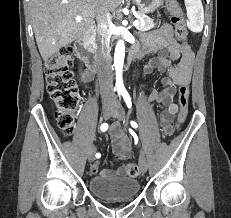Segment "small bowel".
<instances>
[{
	"mask_svg": "<svg viewBox=\"0 0 231 218\" xmlns=\"http://www.w3.org/2000/svg\"><path fill=\"white\" fill-rule=\"evenodd\" d=\"M139 58L147 55H155L145 66L144 73L151 74L155 69L159 72H167L162 78L164 88L152 89L146 102H158L166 107L159 116L161 132L169 136L173 131V117L178 111V103L175 97L183 85H189L194 54L188 45L177 42L174 38L173 29L170 24L165 23L159 29L148 33L143 39V49L138 52ZM82 81L90 83L92 75L85 72ZM112 150L116 158L127 160L132 155V148L128 139L121 132L120 126L115 124L110 129ZM99 162L95 161L90 165L91 173H97ZM126 166H120L115 171L103 170L101 175L125 176Z\"/></svg>",
	"mask_w": 231,
	"mask_h": 218,
	"instance_id": "small-bowel-1",
	"label": "small bowel"
}]
</instances>
